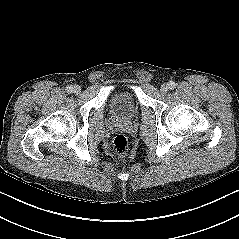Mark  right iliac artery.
<instances>
[{
  "label": "right iliac artery",
  "mask_w": 239,
  "mask_h": 239,
  "mask_svg": "<svg viewBox=\"0 0 239 239\" xmlns=\"http://www.w3.org/2000/svg\"><path fill=\"white\" fill-rule=\"evenodd\" d=\"M66 91H67L68 93H72V92H73V87H72V86H68V87L66 88Z\"/></svg>",
  "instance_id": "82829eb1"
}]
</instances>
